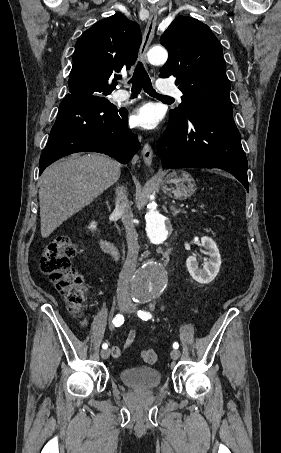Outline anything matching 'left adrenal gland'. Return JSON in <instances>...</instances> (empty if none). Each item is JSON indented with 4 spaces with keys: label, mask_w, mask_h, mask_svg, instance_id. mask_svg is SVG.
Returning <instances> with one entry per match:
<instances>
[{
    "label": "left adrenal gland",
    "mask_w": 281,
    "mask_h": 453,
    "mask_svg": "<svg viewBox=\"0 0 281 453\" xmlns=\"http://www.w3.org/2000/svg\"><path fill=\"white\" fill-rule=\"evenodd\" d=\"M171 210H173L172 214L173 216H176L178 212H180L181 208H176V206H171Z\"/></svg>",
    "instance_id": "1"
}]
</instances>
